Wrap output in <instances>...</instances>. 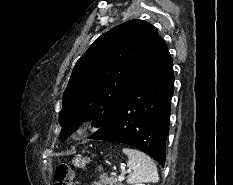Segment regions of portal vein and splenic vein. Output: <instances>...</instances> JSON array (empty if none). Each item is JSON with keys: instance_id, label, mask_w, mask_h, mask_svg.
I'll use <instances>...</instances> for the list:
<instances>
[{"instance_id": "1", "label": "portal vein and splenic vein", "mask_w": 233, "mask_h": 185, "mask_svg": "<svg viewBox=\"0 0 233 185\" xmlns=\"http://www.w3.org/2000/svg\"><path fill=\"white\" fill-rule=\"evenodd\" d=\"M127 172H130V171H127ZM125 174H126V172H122L121 174H120V176H118V180H124V178H125Z\"/></svg>"}]
</instances>
